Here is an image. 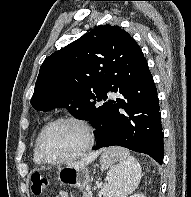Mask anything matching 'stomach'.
Segmentation results:
<instances>
[{
    "instance_id": "stomach-1",
    "label": "stomach",
    "mask_w": 191,
    "mask_h": 197,
    "mask_svg": "<svg viewBox=\"0 0 191 197\" xmlns=\"http://www.w3.org/2000/svg\"><path fill=\"white\" fill-rule=\"evenodd\" d=\"M117 157L109 150H105L100 158L103 168L112 167L117 162ZM58 180L61 184L83 190L89 184L88 169L84 167L66 166L58 171Z\"/></svg>"
}]
</instances>
